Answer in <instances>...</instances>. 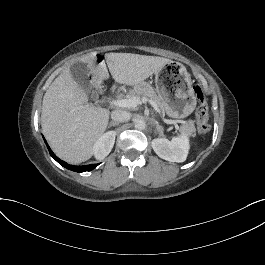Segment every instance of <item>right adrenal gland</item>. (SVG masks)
Wrapping results in <instances>:
<instances>
[{
    "label": "right adrenal gland",
    "instance_id": "1",
    "mask_svg": "<svg viewBox=\"0 0 265 265\" xmlns=\"http://www.w3.org/2000/svg\"><path fill=\"white\" fill-rule=\"evenodd\" d=\"M119 123L118 122H114V121H111L108 125V128L112 127V126H116L118 125Z\"/></svg>",
    "mask_w": 265,
    "mask_h": 265
}]
</instances>
